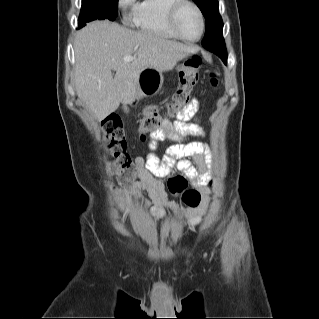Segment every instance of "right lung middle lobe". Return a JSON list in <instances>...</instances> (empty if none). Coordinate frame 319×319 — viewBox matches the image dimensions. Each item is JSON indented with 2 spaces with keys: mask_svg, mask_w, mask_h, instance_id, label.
Instances as JSON below:
<instances>
[{
  "mask_svg": "<svg viewBox=\"0 0 319 319\" xmlns=\"http://www.w3.org/2000/svg\"><path fill=\"white\" fill-rule=\"evenodd\" d=\"M117 13L118 0H82L78 28H82L86 22L96 19L114 21Z\"/></svg>",
  "mask_w": 319,
  "mask_h": 319,
  "instance_id": "right-lung-middle-lobe-1",
  "label": "right lung middle lobe"
}]
</instances>
